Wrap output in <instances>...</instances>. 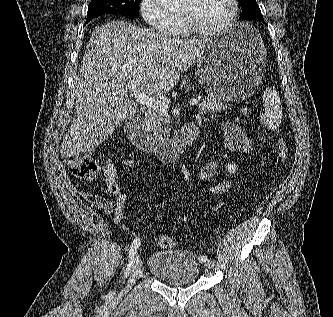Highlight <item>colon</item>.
Wrapping results in <instances>:
<instances>
[{
    "label": "colon",
    "instance_id": "obj_1",
    "mask_svg": "<svg viewBox=\"0 0 333 317\" xmlns=\"http://www.w3.org/2000/svg\"><path fill=\"white\" fill-rule=\"evenodd\" d=\"M241 113L245 116L251 114V109L244 107L241 109ZM277 151L279 159L282 163H285L289 156V147L285 140L282 138L277 139ZM68 169L72 176L85 180L93 181L99 172V163L91 155L77 156L68 160ZM156 210H152L149 214V222L153 224L156 221ZM155 242L158 246L165 249H171L176 246L174 239L164 235L155 236Z\"/></svg>",
    "mask_w": 333,
    "mask_h": 317
}]
</instances>
